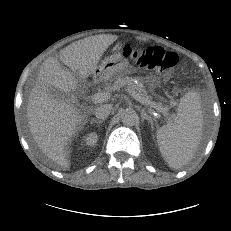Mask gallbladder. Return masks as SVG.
Segmentation results:
<instances>
[{"label":"gallbladder","mask_w":231,"mask_h":231,"mask_svg":"<svg viewBox=\"0 0 231 231\" xmlns=\"http://www.w3.org/2000/svg\"><path fill=\"white\" fill-rule=\"evenodd\" d=\"M49 94L52 95L53 97L58 98V99L63 98L62 92L58 89H55V88H50Z\"/></svg>","instance_id":"bac80fb5"}]
</instances>
